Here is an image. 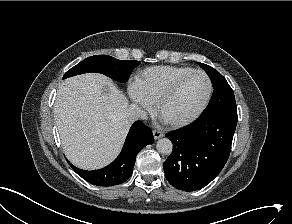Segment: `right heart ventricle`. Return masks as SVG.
<instances>
[{
  "label": "right heart ventricle",
  "mask_w": 292,
  "mask_h": 224,
  "mask_svg": "<svg viewBox=\"0 0 292 224\" xmlns=\"http://www.w3.org/2000/svg\"><path fill=\"white\" fill-rule=\"evenodd\" d=\"M194 70L187 66L150 67L137 75L135 85L149 101L156 102L175 81Z\"/></svg>",
  "instance_id": "1"
}]
</instances>
